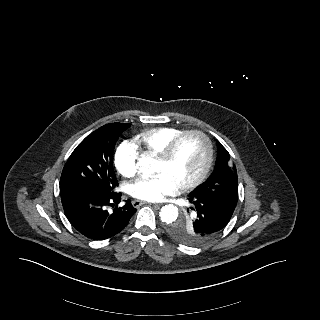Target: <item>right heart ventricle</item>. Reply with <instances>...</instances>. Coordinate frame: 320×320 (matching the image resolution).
I'll list each match as a JSON object with an SVG mask.
<instances>
[{"instance_id": "right-heart-ventricle-1", "label": "right heart ventricle", "mask_w": 320, "mask_h": 320, "mask_svg": "<svg viewBox=\"0 0 320 320\" xmlns=\"http://www.w3.org/2000/svg\"><path fill=\"white\" fill-rule=\"evenodd\" d=\"M183 132V129L176 127L152 128L138 134L134 143L142 152L158 156L174 138Z\"/></svg>"}]
</instances>
